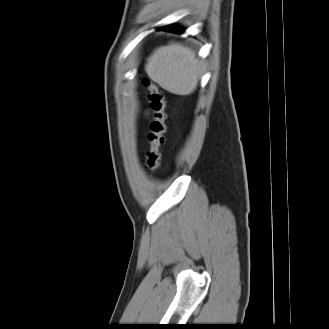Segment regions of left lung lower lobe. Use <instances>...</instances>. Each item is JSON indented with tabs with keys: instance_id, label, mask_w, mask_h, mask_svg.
I'll return each instance as SVG.
<instances>
[{
	"instance_id": "1",
	"label": "left lung lower lobe",
	"mask_w": 329,
	"mask_h": 329,
	"mask_svg": "<svg viewBox=\"0 0 329 329\" xmlns=\"http://www.w3.org/2000/svg\"><path fill=\"white\" fill-rule=\"evenodd\" d=\"M160 30L171 31V32L179 33V34L184 32V30L179 29L178 27H175V26H164V27H161Z\"/></svg>"
}]
</instances>
